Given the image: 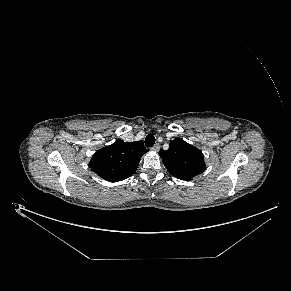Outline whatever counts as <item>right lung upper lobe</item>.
I'll use <instances>...</instances> for the list:
<instances>
[{"mask_svg": "<svg viewBox=\"0 0 291 291\" xmlns=\"http://www.w3.org/2000/svg\"><path fill=\"white\" fill-rule=\"evenodd\" d=\"M147 151L143 141L116 140L113 144L98 150L90 160L89 167L109 182L122 181L134 174L141 157Z\"/></svg>", "mask_w": 291, "mask_h": 291, "instance_id": "obj_1", "label": "right lung upper lobe"}]
</instances>
